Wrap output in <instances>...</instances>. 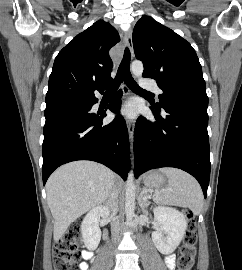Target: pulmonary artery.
I'll use <instances>...</instances> for the list:
<instances>
[{"label":"pulmonary artery","mask_w":242,"mask_h":270,"mask_svg":"<svg viewBox=\"0 0 242 270\" xmlns=\"http://www.w3.org/2000/svg\"><path fill=\"white\" fill-rule=\"evenodd\" d=\"M141 86L144 88V89H147V90H150L156 94H160L161 93V90L158 88V86L153 82V81H150V80H143L141 82Z\"/></svg>","instance_id":"e3ab8cb5"}]
</instances>
